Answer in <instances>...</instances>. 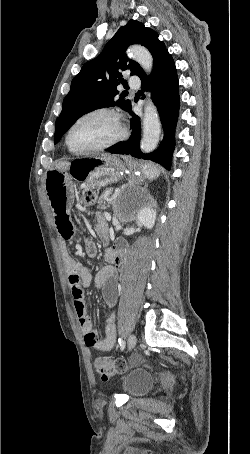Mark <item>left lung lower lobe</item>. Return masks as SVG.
<instances>
[{
	"instance_id": "0a47b994",
	"label": "left lung lower lobe",
	"mask_w": 250,
	"mask_h": 454,
	"mask_svg": "<svg viewBox=\"0 0 250 454\" xmlns=\"http://www.w3.org/2000/svg\"><path fill=\"white\" fill-rule=\"evenodd\" d=\"M141 80L142 90L150 91L153 96L152 100L158 109L164 129V138L155 151L148 154L142 153L139 148L141 139L140 119L136 114H132L130 107L128 112L133 116L130 121L133 129L130 138L125 142L111 146L107 151L113 154H130L136 158L148 159L170 170L171 156L175 146V127L180 106L177 70L171 55L167 53L155 65L151 76L145 75Z\"/></svg>"
}]
</instances>
